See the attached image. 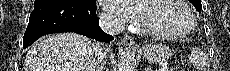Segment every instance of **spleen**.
<instances>
[{
    "label": "spleen",
    "instance_id": "1",
    "mask_svg": "<svg viewBox=\"0 0 230 71\" xmlns=\"http://www.w3.org/2000/svg\"><path fill=\"white\" fill-rule=\"evenodd\" d=\"M188 59L194 67L201 69L202 71H205L208 66L203 53H201L200 49L198 48H192L190 54L188 55Z\"/></svg>",
    "mask_w": 230,
    "mask_h": 71
}]
</instances>
